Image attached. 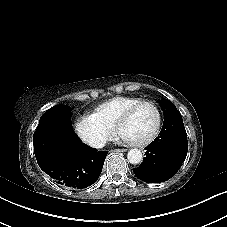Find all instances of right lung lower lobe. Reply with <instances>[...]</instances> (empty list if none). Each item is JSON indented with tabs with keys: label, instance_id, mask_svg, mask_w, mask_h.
I'll return each instance as SVG.
<instances>
[{
	"label": "right lung lower lobe",
	"instance_id": "right-lung-lower-lobe-1",
	"mask_svg": "<svg viewBox=\"0 0 227 227\" xmlns=\"http://www.w3.org/2000/svg\"><path fill=\"white\" fill-rule=\"evenodd\" d=\"M33 142L40 168L60 184L78 189L96 182L108 154L69 140L60 129L35 133Z\"/></svg>",
	"mask_w": 227,
	"mask_h": 227
}]
</instances>
